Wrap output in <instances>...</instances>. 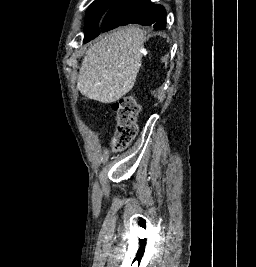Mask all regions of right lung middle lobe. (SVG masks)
Listing matches in <instances>:
<instances>
[{"label":"right lung middle lobe","mask_w":256,"mask_h":267,"mask_svg":"<svg viewBox=\"0 0 256 267\" xmlns=\"http://www.w3.org/2000/svg\"><path fill=\"white\" fill-rule=\"evenodd\" d=\"M143 0H96L87 10L84 43L97 37L100 32L112 29L121 18Z\"/></svg>","instance_id":"obj_1"}]
</instances>
